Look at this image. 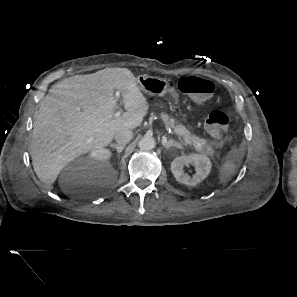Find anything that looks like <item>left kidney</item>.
I'll list each match as a JSON object with an SVG mask.
<instances>
[{
    "label": "left kidney",
    "instance_id": "left-kidney-1",
    "mask_svg": "<svg viewBox=\"0 0 297 297\" xmlns=\"http://www.w3.org/2000/svg\"><path fill=\"white\" fill-rule=\"evenodd\" d=\"M195 167V174L191 177L184 173V167L187 165ZM211 161L204 154H192L175 158L171 163V171L175 179L187 186H195L203 181L210 173Z\"/></svg>",
    "mask_w": 297,
    "mask_h": 297
}]
</instances>
